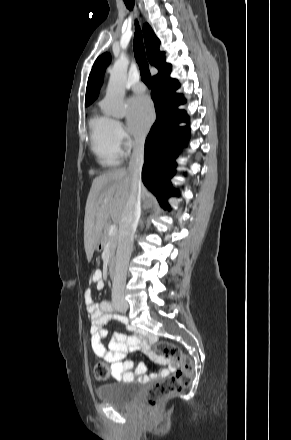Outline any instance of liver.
Listing matches in <instances>:
<instances>
[{"label": "liver", "instance_id": "liver-1", "mask_svg": "<svg viewBox=\"0 0 291 440\" xmlns=\"http://www.w3.org/2000/svg\"><path fill=\"white\" fill-rule=\"evenodd\" d=\"M131 190L128 170L115 169L96 177L88 194L84 218V247L88 261L99 243L102 230L111 218L119 224ZM145 207L151 206L152 196L143 187Z\"/></svg>", "mask_w": 291, "mask_h": 440}]
</instances>
